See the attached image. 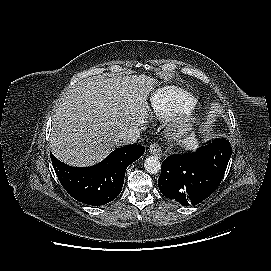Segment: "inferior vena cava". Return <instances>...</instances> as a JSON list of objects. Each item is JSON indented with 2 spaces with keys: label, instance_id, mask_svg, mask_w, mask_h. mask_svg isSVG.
<instances>
[{
  "label": "inferior vena cava",
  "instance_id": "1",
  "mask_svg": "<svg viewBox=\"0 0 271 271\" xmlns=\"http://www.w3.org/2000/svg\"><path fill=\"white\" fill-rule=\"evenodd\" d=\"M140 137V131L138 129H129L128 131H124L119 134L116 139L115 143L116 146H125L134 144L137 139Z\"/></svg>",
  "mask_w": 271,
  "mask_h": 271
}]
</instances>
